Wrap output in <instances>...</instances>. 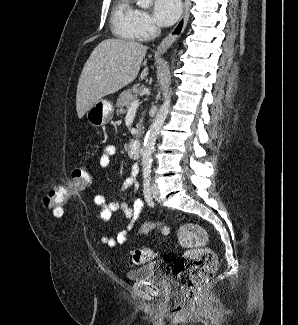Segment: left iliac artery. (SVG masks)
<instances>
[{
    "label": "left iliac artery",
    "mask_w": 298,
    "mask_h": 325,
    "mask_svg": "<svg viewBox=\"0 0 298 325\" xmlns=\"http://www.w3.org/2000/svg\"><path fill=\"white\" fill-rule=\"evenodd\" d=\"M150 182H151V171H144L143 173V193L147 204L150 207L154 206V202L152 200L150 194Z\"/></svg>",
    "instance_id": "left-iliac-artery-1"
}]
</instances>
